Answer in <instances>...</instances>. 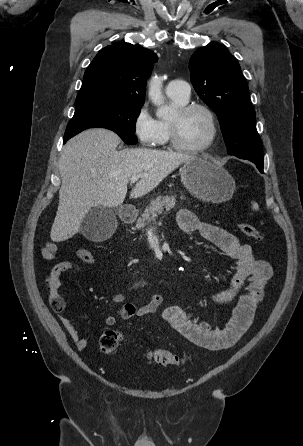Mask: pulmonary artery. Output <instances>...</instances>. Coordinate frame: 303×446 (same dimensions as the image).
<instances>
[{"label":"pulmonary artery","mask_w":303,"mask_h":446,"mask_svg":"<svg viewBox=\"0 0 303 446\" xmlns=\"http://www.w3.org/2000/svg\"><path fill=\"white\" fill-rule=\"evenodd\" d=\"M166 92L168 95L177 96L182 99H189L190 86L184 80L174 79L167 84Z\"/></svg>","instance_id":"e3ab8cb5"}]
</instances>
